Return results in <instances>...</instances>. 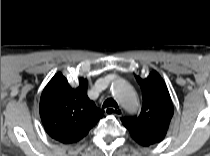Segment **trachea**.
<instances>
[{
  "label": "trachea",
  "instance_id": "1",
  "mask_svg": "<svg viewBox=\"0 0 210 156\" xmlns=\"http://www.w3.org/2000/svg\"><path fill=\"white\" fill-rule=\"evenodd\" d=\"M102 107L103 108H106V107H115V108H118V104L112 98H108L107 100H105V102L103 103V106Z\"/></svg>",
  "mask_w": 210,
  "mask_h": 156
}]
</instances>
